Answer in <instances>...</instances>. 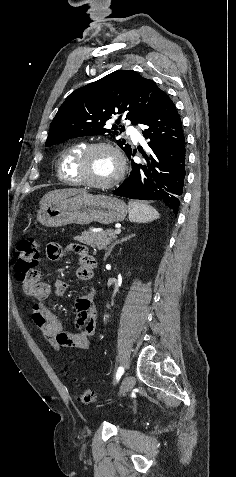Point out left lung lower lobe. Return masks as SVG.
Listing matches in <instances>:
<instances>
[{"instance_id":"left-lung-lower-lobe-1","label":"left lung lower lobe","mask_w":236,"mask_h":477,"mask_svg":"<svg viewBox=\"0 0 236 477\" xmlns=\"http://www.w3.org/2000/svg\"><path fill=\"white\" fill-rule=\"evenodd\" d=\"M143 136L150 139L148 145L152 150L149 156L140 151L147 164L131 160L132 171L114 194L131 199L160 200L176 215L186 175L185 136L177 109L164 91ZM134 154L135 151L131 153Z\"/></svg>"}]
</instances>
